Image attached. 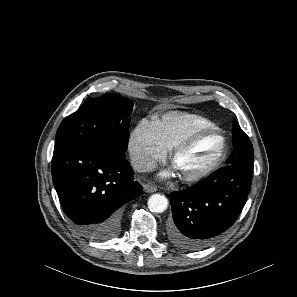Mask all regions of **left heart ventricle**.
Returning <instances> with one entry per match:
<instances>
[{
    "instance_id": "left-heart-ventricle-1",
    "label": "left heart ventricle",
    "mask_w": 297,
    "mask_h": 297,
    "mask_svg": "<svg viewBox=\"0 0 297 297\" xmlns=\"http://www.w3.org/2000/svg\"><path fill=\"white\" fill-rule=\"evenodd\" d=\"M220 150V138L214 134L205 135L178 155L173 167L182 176L196 174L207 168L216 159Z\"/></svg>"
}]
</instances>
